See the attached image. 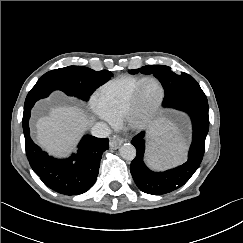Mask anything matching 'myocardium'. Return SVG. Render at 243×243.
Returning a JSON list of instances; mask_svg holds the SVG:
<instances>
[{
    "instance_id": "1",
    "label": "myocardium",
    "mask_w": 243,
    "mask_h": 243,
    "mask_svg": "<svg viewBox=\"0 0 243 243\" xmlns=\"http://www.w3.org/2000/svg\"><path fill=\"white\" fill-rule=\"evenodd\" d=\"M149 82H154L158 85L160 91L159 96L151 107L139 112L137 110L138 99L144 86ZM164 99H165V89L162 83L158 79L153 77L146 78L138 85V87L134 90V92L129 97L121 115L122 123L126 127L132 130L145 129L147 126L150 125V123L156 117L157 113L159 112V110L163 105Z\"/></svg>"
}]
</instances>
